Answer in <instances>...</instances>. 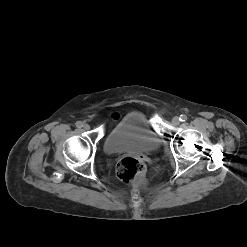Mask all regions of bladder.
<instances>
[{
	"instance_id": "31cf9c89",
	"label": "bladder",
	"mask_w": 247,
	"mask_h": 247,
	"mask_svg": "<svg viewBox=\"0 0 247 247\" xmlns=\"http://www.w3.org/2000/svg\"><path fill=\"white\" fill-rule=\"evenodd\" d=\"M159 138L148 124L146 116L139 111L125 115L108 133L104 150L108 154L126 151L150 153L159 147Z\"/></svg>"
}]
</instances>
